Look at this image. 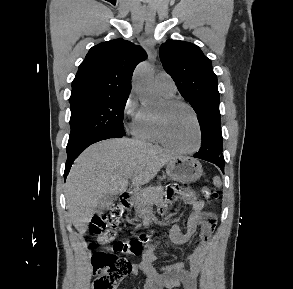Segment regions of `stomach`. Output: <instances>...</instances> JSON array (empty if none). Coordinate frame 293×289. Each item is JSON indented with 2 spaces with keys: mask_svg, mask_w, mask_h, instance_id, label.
Wrapping results in <instances>:
<instances>
[{
  "mask_svg": "<svg viewBox=\"0 0 293 289\" xmlns=\"http://www.w3.org/2000/svg\"><path fill=\"white\" fill-rule=\"evenodd\" d=\"M203 174L199 161L190 157H178L167 163L166 176L168 179L183 184L196 182Z\"/></svg>",
  "mask_w": 293,
  "mask_h": 289,
  "instance_id": "stomach-1",
  "label": "stomach"
}]
</instances>
